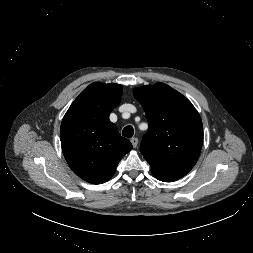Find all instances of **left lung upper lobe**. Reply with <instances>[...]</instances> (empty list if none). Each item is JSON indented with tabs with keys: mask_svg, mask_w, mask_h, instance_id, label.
Masks as SVG:
<instances>
[{
	"mask_svg": "<svg viewBox=\"0 0 253 253\" xmlns=\"http://www.w3.org/2000/svg\"><path fill=\"white\" fill-rule=\"evenodd\" d=\"M149 130L140 145L152 174L179 179L196 164L203 145L199 113L182 94L164 83L134 89Z\"/></svg>",
	"mask_w": 253,
	"mask_h": 253,
	"instance_id": "obj_1",
	"label": "left lung upper lobe"
}]
</instances>
